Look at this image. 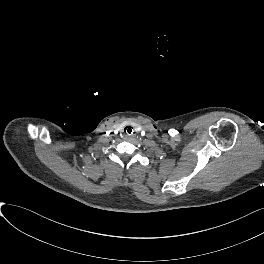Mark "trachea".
<instances>
[{
	"instance_id": "1",
	"label": "trachea",
	"mask_w": 264,
	"mask_h": 264,
	"mask_svg": "<svg viewBox=\"0 0 264 264\" xmlns=\"http://www.w3.org/2000/svg\"><path fill=\"white\" fill-rule=\"evenodd\" d=\"M124 132L127 134V135H131V134H133V132H134V130H133V127L132 126H126L125 128H124Z\"/></svg>"
}]
</instances>
